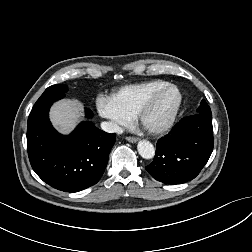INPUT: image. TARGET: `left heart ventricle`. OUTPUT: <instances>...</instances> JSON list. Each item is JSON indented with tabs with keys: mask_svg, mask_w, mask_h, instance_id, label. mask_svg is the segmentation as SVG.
Wrapping results in <instances>:
<instances>
[{
	"mask_svg": "<svg viewBox=\"0 0 252 252\" xmlns=\"http://www.w3.org/2000/svg\"><path fill=\"white\" fill-rule=\"evenodd\" d=\"M178 100V93L174 89L163 92L145 117L149 126H159L165 123L172 114Z\"/></svg>",
	"mask_w": 252,
	"mask_h": 252,
	"instance_id": "obj_1",
	"label": "left heart ventricle"
}]
</instances>
